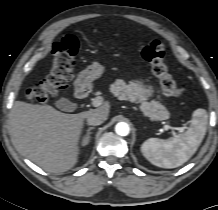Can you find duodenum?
Returning a JSON list of instances; mask_svg holds the SVG:
<instances>
[{"label":"duodenum","instance_id":"obj_1","mask_svg":"<svg viewBox=\"0 0 218 210\" xmlns=\"http://www.w3.org/2000/svg\"><path fill=\"white\" fill-rule=\"evenodd\" d=\"M89 84L84 77H80L76 81V96L78 99H85L89 95Z\"/></svg>","mask_w":218,"mask_h":210}]
</instances>
